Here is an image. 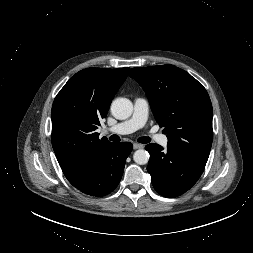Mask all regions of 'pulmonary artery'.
<instances>
[{
	"label": "pulmonary artery",
	"mask_w": 253,
	"mask_h": 253,
	"mask_svg": "<svg viewBox=\"0 0 253 253\" xmlns=\"http://www.w3.org/2000/svg\"><path fill=\"white\" fill-rule=\"evenodd\" d=\"M149 102L145 98L138 97L134 100L133 114L128 120L121 122L106 130L107 133L118 135L130 134L142 128L148 119ZM153 139L160 145L166 147L168 138L161 134H153Z\"/></svg>",
	"instance_id": "e3ab8cb5"
}]
</instances>
